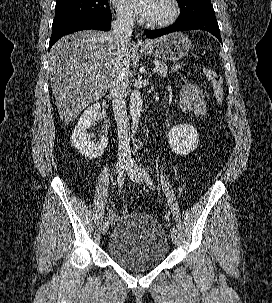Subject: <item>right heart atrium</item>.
<instances>
[{"label":"right heart atrium","mask_w":272,"mask_h":303,"mask_svg":"<svg viewBox=\"0 0 272 303\" xmlns=\"http://www.w3.org/2000/svg\"><path fill=\"white\" fill-rule=\"evenodd\" d=\"M118 20L123 23H131L132 16L131 14L124 8L123 3L121 0H112Z\"/></svg>","instance_id":"obj_1"}]
</instances>
